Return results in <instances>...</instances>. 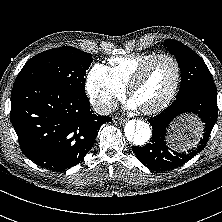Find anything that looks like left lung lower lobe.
Instances as JSON below:
<instances>
[{"mask_svg":"<svg viewBox=\"0 0 222 222\" xmlns=\"http://www.w3.org/2000/svg\"><path fill=\"white\" fill-rule=\"evenodd\" d=\"M192 113L204 123V133L197 147L187 152H171L166 145L165 136L169 124L181 114ZM217 94L205 91H191L177 96L176 100L149 123L153 133L150 143L143 147H132L133 152L147 168L160 171L183 165L201 152L208 142L217 120Z\"/></svg>","mask_w":222,"mask_h":222,"instance_id":"0a47b994","label":"left lung lower lobe"}]
</instances>
